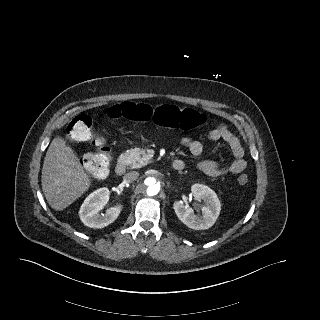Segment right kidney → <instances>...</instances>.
Here are the masks:
<instances>
[{
    "label": "right kidney",
    "instance_id": "ca27d5eb",
    "mask_svg": "<svg viewBox=\"0 0 320 320\" xmlns=\"http://www.w3.org/2000/svg\"><path fill=\"white\" fill-rule=\"evenodd\" d=\"M109 190L106 187L92 192L83 202L79 210V217L84 225L91 228H104L114 222L119 216L122 205H117L106 210L101 215L100 211L109 200Z\"/></svg>",
    "mask_w": 320,
    "mask_h": 320
}]
</instances>
